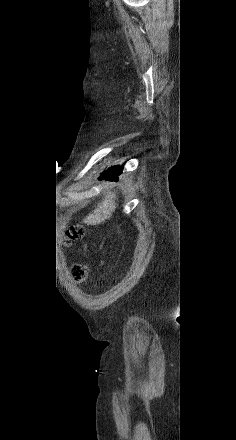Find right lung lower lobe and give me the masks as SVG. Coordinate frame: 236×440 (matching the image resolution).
Returning a JSON list of instances; mask_svg holds the SVG:
<instances>
[{"mask_svg": "<svg viewBox=\"0 0 236 440\" xmlns=\"http://www.w3.org/2000/svg\"><path fill=\"white\" fill-rule=\"evenodd\" d=\"M122 173V167L121 166H113L106 170L104 174H102L99 179H107V180H118V175Z\"/></svg>", "mask_w": 236, "mask_h": 440, "instance_id": "right-lung-lower-lobe-1", "label": "right lung lower lobe"}]
</instances>
